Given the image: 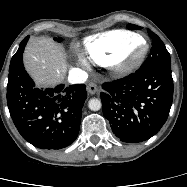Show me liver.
<instances>
[{
    "mask_svg": "<svg viewBox=\"0 0 187 187\" xmlns=\"http://www.w3.org/2000/svg\"><path fill=\"white\" fill-rule=\"evenodd\" d=\"M24 64L37 85L55 86L67 72L64 48L50 38L33 37L24 53Z\"/></svg>",
    "mask_w": 187,
    "mask_h": 187,
    "instance_id": "obj_1",
    "label": "liver"
}]
</instances>
